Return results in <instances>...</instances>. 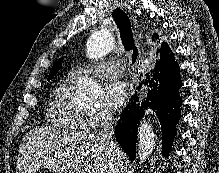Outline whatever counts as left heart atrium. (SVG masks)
<instances>
[{
	"mask_svg": "<svg viewBox=\"0 0 219 173\" xmlns=\"http://www.w3.org/2000/svg\"><path fill=\"white\" fill-rule=\"evenodd\" d=\"M128 95V87L124 82L112 81L105 86L104 104L109 109H118L126 102Z\"/></svg>",
	"mask_w": 219,
	"mask_h": 173,
	"instance_id": "1",
	"label": "left heart atrium"
}]
</instances>
